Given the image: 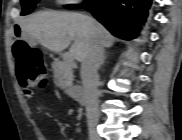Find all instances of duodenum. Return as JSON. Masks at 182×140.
Wrapping results in <instances>:
<instances>
[{"mask_svg": "<svg viewBox=\"0 0 182 140\" xmlns=\"http://www.w3.org/2000/svg\"><path fill=\"white\" fill-rule=\"evenodd\" d=\"M72 92L74 94V99L77 103H80V104L85 103L84 92L80 87L73 88Z\"/></svg>", "mask_w": 182, "mask_h": 140, "instance_id": "410a0bca", "label": "duodenum"}]
</instances>
